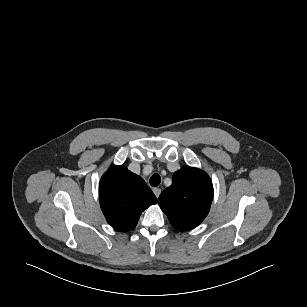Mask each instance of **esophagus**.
<instances>
[{"label": "esophagus", "instance_id": "esophagus-1", "mask_svg": "<svg viewBox=\"0 0 307 307\" xmlns=\"http://www.w3.org/2000/svg\"><path fill=\"white\" fill-rule=\"evenodd\" d=\"M153 193L158 198L160 196V194H161V189L160 188H154L153 189Z\"/></svg>", "mask_w": 307, "mask_h": 307}]
</instances>
